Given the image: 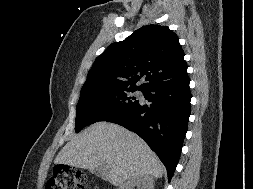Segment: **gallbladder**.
Wrapping results in <instances>:
<instances>
[{
  "instance_id": "bac80fb5",
  "label": "gallbladder",
  "mask_w": 253,
  "mask_h": 189,
  "mask_svg": "<svg viewBox=\"0 0 253 189\" xmlns=\"http://www.w3.org/2000/svg\"><path fill=\"white\" fill-rule=\"evenodd\" d=\"M92 173H94L95 175H99L101 176L102 178L105 177V174L104 172L99 168V169H96V170H91Z\"/></svg>"
}]
</instances>
